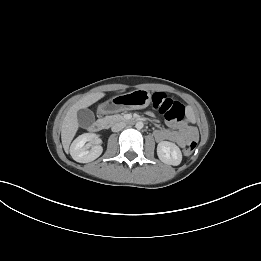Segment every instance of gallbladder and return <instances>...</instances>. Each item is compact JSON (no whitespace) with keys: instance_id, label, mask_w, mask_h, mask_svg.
<instances>
[{"instance_id":"obj_1","label":"gallbladder","mask_w":261,"mask_h":261,"mask_svg":"<svg viewBox=\"0 0 261 261\" xmlns=\"http://www.w3.org/2000/svg\"><path fill=\"white\" fill-rule=\"evenodd\" d=\"M77 118L79 125L83 128L92 126L95 121L94 113L87 108L80 109L77 112Z\"/></svg>"}]
</instances>
